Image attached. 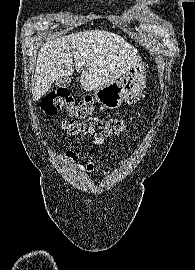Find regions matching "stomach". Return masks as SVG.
<instances>
[{
	"label": "stomach",
	"mask_w": 195,
	"mask_h": 270,
	"mask_svg": "<svg viewBox=\"0 0 195 270\" xmlns=\"http://www.w3.org/2000/svg\"><path fill=\"white\" fill-rule=\"evenodd\" d=\"M146 83V70L143 63L132 67L119 80L113 81L94 91L99 103L110 109L117 108L123 100L137 98Z\"/></svg>",
	"instance_id": "0dacf381"
}]
</instances>
